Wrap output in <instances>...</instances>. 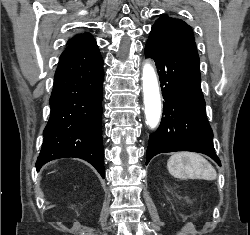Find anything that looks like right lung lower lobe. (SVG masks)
I'll list each match as a JSON object with an SVG mask.
<instances>
[{"label":"right lung lower lobe","mask_w":250,"mask_h":235,"mask_svg":"<svg viewBox=\"0 0 250 235\" xmlns=\"http://www.w3.org/2000/svg\"><path fill=\"white\" fill-rule=\"evenodd\" d=\"M103 59L95 41L60 56L49 100L51 113L36 167L59 158H81L104 178L102 144Z\"/></svg>","instance_id":"1"}]
</instances>
